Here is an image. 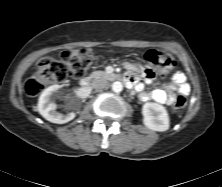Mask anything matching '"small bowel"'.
I'll use <instances>...</instances> for the list:
<instances>
[{
    "label": "small bowel",
    "mask_w": 222,
    "mask_h": 187,
    "mask_svg": "<svg viewBox=\"0 0 222 187\" xmlns=\"http://www.w3.org/2000/svg\"><path fill=\"white\" fill-rule=\"evenodd\" d=\"M127 69L129 70L127 76L133 79L136 89L140 91L142 89V85L137 83L135 80V72L137 71V67L133 64H128ZM145 76L148 82L152 80V75H150L148 72H146ZM173 81L174 84L166 86L165 89H156L150 93L142 92L140 94L141 99L145 101L153 100L155 102L170 105L173 104L176 99V91L185 95L190 92V86L186 82V77L182 72H176L173 76Z\"/></svg>",
    "instance_id": "1"
}]
</instances>
